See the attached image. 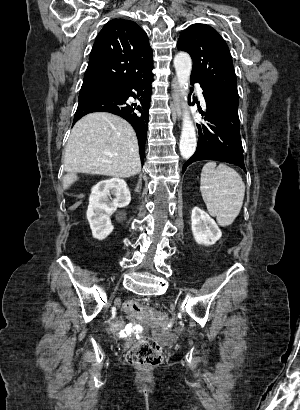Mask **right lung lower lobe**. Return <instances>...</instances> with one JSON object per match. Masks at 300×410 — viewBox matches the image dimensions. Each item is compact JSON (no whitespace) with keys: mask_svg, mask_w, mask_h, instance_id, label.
<instances>
[{"mask_svg":"<svg viewBox=\"0 0 300 410\" xmlns=\"http://www.w3.org/2000/svg\"><path fill=\"white\" fill-rule=\"evenodd\" d=\"M152 72L136 78L124 80L114 91L97 93L79 99L78 108L74 116V123L82 116L91 112H110L126 119L134 128L143 163L145 143L149 121V108L151 101ZM129 97L139 100V105L128 103Z\"/></svg>","mask_w":300,"mask_h":410,"instance_id":"98d812e1","label":"right lung lower lobe"}]
</instances>
